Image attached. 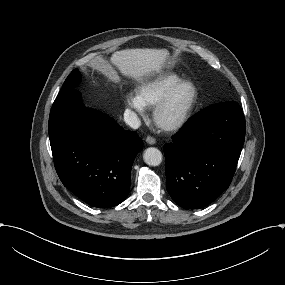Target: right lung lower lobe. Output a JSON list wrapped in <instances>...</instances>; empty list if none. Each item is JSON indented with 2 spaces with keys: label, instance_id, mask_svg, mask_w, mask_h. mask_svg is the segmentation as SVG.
I'll list each match as a JSON object with an SVG mask.
<instances>
[{
  "label": "right lung lower lobe",
  "instance_id": "98d812e1",
  "mask_svg": "<svg viewBox=\"0 0 285 285\" xmlns=\"http://www.w3.org/2000/svg\"><path fill=\"white\" fill-rule=\"evenodd\" d=\"M48 128L55 168L66 188L99 208L116 206L126 198L131 167L143 147L136 132L85 108L76 89L59 93Z\"/></svg>",
  "mask_w": 285,
  "mask_h": 285
}]
</instances>
